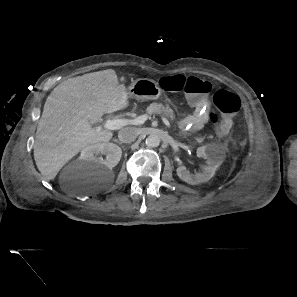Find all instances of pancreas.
<instances>
[{
	"label": "pancreas",
	"instance_id": "cf45deb5",
	"mask_svg": "<svg viewBox=\"0 0 297 297\" xmlns=\"http://www.w3.org/2000/svg\"><path fill=\"white\" fill-rule=\"evenodd\" d=\"M146 111L150 115L160 114L162 116L169 118L170 120L175 119L174 111L169 105L164 106L163 104H160V103H152L148 106Z\"/></svg>",
	"mask_w": 297,
	"mask_h": 297
}]
</instances>
